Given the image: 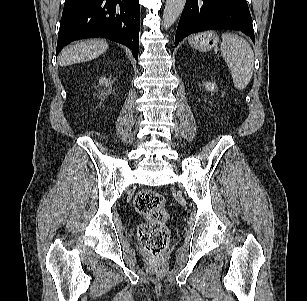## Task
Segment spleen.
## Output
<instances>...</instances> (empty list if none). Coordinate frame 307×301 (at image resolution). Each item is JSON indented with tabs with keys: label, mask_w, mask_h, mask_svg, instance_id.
I'll use <instances>...</instances> for the list:
<instances>
[{
	"label": "spleen",
	"mask_w": 307,
	"mask_h": 301,
	"mask_svg": "<svg viewBox=\"0 0 307 301\" xmlns=\"http://www.w3.org/2000/svg\"><path fill=\"white\" fill-rule=\"evenodd\" d=\"M221 54L230 69L234 86L243 90L249 84L254 69V53L250 44L234 33H223Z\"/></svg>",
	"instance_id": "1"
}]
</instances>
